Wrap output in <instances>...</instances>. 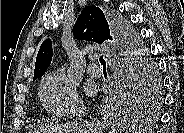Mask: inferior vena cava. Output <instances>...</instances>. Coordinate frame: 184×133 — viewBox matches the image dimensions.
<instances>
[{"label":"inferior vena cava","instance_id":"602c4592","mask_svg":"<svg viewBox=\"0 0 184 133\" xmlns=\"http://www.w3.org/2000/svg\"><path fill=\"white\" fill-rule=\"evenodd\" d=\"M82 115H83V111L80 110L78 116L81 117ZM85 129L88 130V131H85V133H93L94 132L93 129L90 128L88 125H85Z\"/></svg>","mask_w":184,"mask_h":133}]
</instances>
